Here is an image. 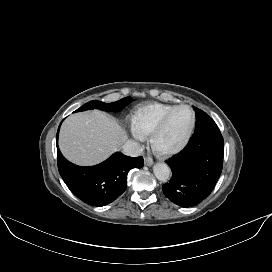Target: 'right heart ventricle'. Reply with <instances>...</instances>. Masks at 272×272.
I'll return each mask as SVG.
<instances>
[{
	"mask_svg": "<svg viewBox=\"0 0 272 272\" xmlns=\"http://www.w3.org/2000/svg\"><path fill=\"white\" fill-rule=\"evenodd\" d=\"M175 105L152 103L138 108L131 116V128L138 138L150 135L157 127L161 119Z\"/></svg>",
	"mask_w": 272,
	"mask_h": 272,
	"instance_id": "obj_1",
	"label": "right heart ventricle"
}]
</instances>
